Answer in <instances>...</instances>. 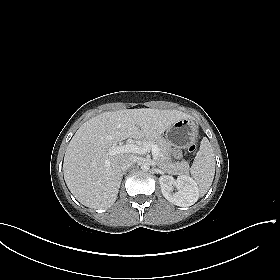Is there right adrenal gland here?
<instances>
[{
  "mask_svg": "<svg viewBox=\"0 0 280 280\" xmlns=\"http://www.w3.org/2000/svg\"><path fill=\"white\" fill-rule=\"evenodd\" d=\"M125 174H126V171H123V172H122V176L125 175Z\"/></svg>",
  "mask_w": 280,
  "mask_h": 280,
  "instance_id": "obj_1",
  "label": "right adrenal gland"
}]
</instances>
